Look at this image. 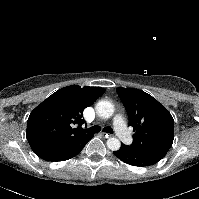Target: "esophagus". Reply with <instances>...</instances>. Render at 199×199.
<instances>
[{"label": "esophagus", "instance_id": "obj_1", "mask_svg": "<svg viewBox=\"0 0 199 199\" xmlns=\"http://www.w3.org/2000/svg\"><path fill=\"white\" fill-rule=\"evenodd\" d=\"M101 135H103L105 138H109L111 135L110 134H108V133H101Z\"/></svg>", "mask_w": 199, "mask_h": 199}]
</instances>
